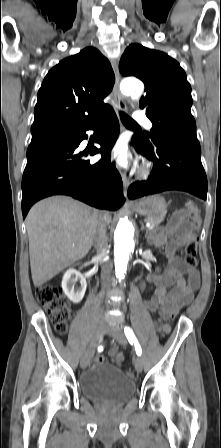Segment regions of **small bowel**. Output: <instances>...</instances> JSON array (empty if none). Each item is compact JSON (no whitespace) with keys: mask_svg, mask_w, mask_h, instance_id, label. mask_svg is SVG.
<instances>
[{"mask_svg":"<svg viewBox=\"0 0 221 448\" xmlns=\"http://www.w3.org/2000/svg\"><path fill=\"white\" fill-rule=\"evenodd\" d=\"M195 238L193 232L184 230L174 222L169 223L153 237V242L157 246L165 247V254L169 260L165 276L157 283L151 298L145 301V307L148 310L159 312L156 326L160 332H169L170 327L163 322L175 317L183 307L188 305L199 287V271L196 268L187 267L185 262L176 255L181 247L194 241ZM110 356L115 358L117 363L122 362L123 358L116 349L110 351ZM117 356H120V359H116ZM96 362H99V357L96 358Z\"/></svg>","mask_w":221,"mask_h":448,"instance_id":"obj_1","label":"small bowel"}]
</instances>
